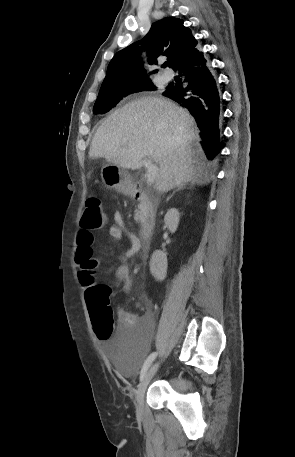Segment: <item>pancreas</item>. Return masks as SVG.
<instances>
[{
    "label": "pancreas",
    "instance_id": "obj_1",
    "mask_svg": "<svg viewBox=\"0 0 295 457\" xmlns=\"http://www.w3.org/2000/svg\"><path fill=\"white\" fill-rule=\"evenodd\" d=\"M134 219H135L136 222L141 221L143 219V213L139 208L135 210Z\"/></svg>",
    "mask_w": 295,
    "mask_h": 457
}]
</instances>
